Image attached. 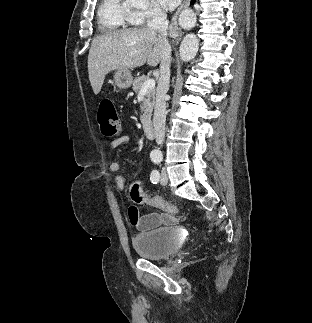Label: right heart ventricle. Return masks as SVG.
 Wrapping results in <instances>:
<instances>
[{"label": "right heart ventricle", "mask_w": 312, "mask_h": 323, "mask_svg": "<svg viewBox=\"0 0 312 323\" xmlns=\"http://www.w3.org/2000/svg\"><path fill=\"white\" fill-rule=\"evenodd\" d=\"M122 0H100L93 15L94 20H100L105 29H128L136 25L138 10L130 5H121Z\"/></svg>", "instance_id": "obj_1"}]
</instances>
